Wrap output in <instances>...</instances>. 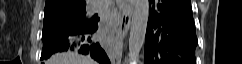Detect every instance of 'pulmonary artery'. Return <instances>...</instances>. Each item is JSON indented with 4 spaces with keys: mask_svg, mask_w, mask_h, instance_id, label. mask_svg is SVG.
I'll list each match as a JSON object with an SVG mask.
<instances>
[{
    "mask_svg": "<svg viewBox=\"0 0 242 64\" xmlns=\"http://www.w3.org/2000/svg\"><path fill=\"white\" fill-rule=\"evenodd\" d=\"M108 5L109 3L107 1L98 0L91 6V10L96 12L102 11L103 9L108 7Z\"/></svg>",
    "mask_w": 242,
    "mask_h": 64,
    "instance_id": "1",
    "label": "pulmonary artery"
}]
</instances>
